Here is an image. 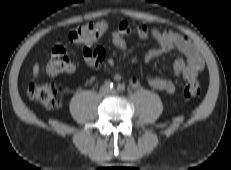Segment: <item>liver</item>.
Returning <instances> with one entry per match:
<instances>
[{"instance_id": "obj_1", "label": "liver", "mask_w": 231, "mask_h": 170, "mask_svg": "<svg viewBox=\"0 0 231 170\" xmlns=\"http://www.w3.org/2000/svg\"><path fill=\"white\" fill-rule=\"evenodd\" d=\"M39 74V65L36 63L33 67V75L34 77H37Z\"/></svg>"}]
</instances>
